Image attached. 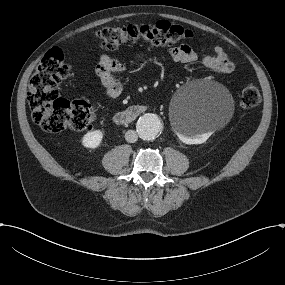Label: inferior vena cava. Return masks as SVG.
I'll list each match as a JSON object with an SVG mask.
<instances>
[{
    "label": "inferior vena cava",
    "mask_w": 285,
    "mask_h": 285,
    "mask_svg": "<svg viewBox=\"0 0 285 285\" xmlns=\"http://www.w3.org/2000/svg\"><path fill=\"white\" fill-rule=\"evenodd\" d=\"M125 139L127 142L129 143H134L138 140V135H137V132L134 131V130H128L126 133H125Z\"/></svg>",
    "instance_id": "602c4592"
}]
</instances>
